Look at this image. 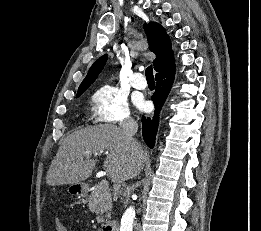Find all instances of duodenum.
Wrapping results in <instances>:
<instances>
[{
	"mask_svg": "<svg viewBox=\"0 0 261 231\" xmlns=\"http://www.w3.org/2000/svg\"><path fill=\"white\" fill-rule=\"evenodd\" d=\"M120 223L116 220L108 221L104 224L103 231H119Z\"/></svg>",
	"mask_w": 261,
	"mask_h": 231,
	"instance_id": "1",
	"label": "duodenum"
}]
</instances>
